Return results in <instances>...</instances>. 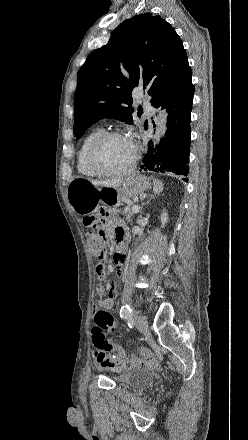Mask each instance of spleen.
<instances>
[{"label": "spleen", "mask_w": 248, "mask_h": 440, "mask_svg": "<svg viewBox=\"0 0 248 440\" xmlns=\"http://www.w3.org/2000/svg\"><path fill=\"white\" fill-rule=\"evenodd\" d=\"M153 191L155 194H160V192H162L163 190V184L161 181L157 180V179H153Z\"/></svg>", "instance_id": "obj_1"}]
</instances>
